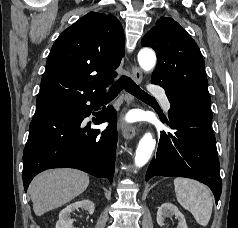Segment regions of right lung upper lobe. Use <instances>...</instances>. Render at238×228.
Returning a JSON list of instances; mask_svg holds the SVG:
<instances>
[{"label":"right lung upper lobe","instance_id":"1","mask_svg":"<svg viewBox=\"0 0 238 228\" xmlns=\"http://www.w3.org/2000/svg\"><path fill=\"white\" fill-rule=\"evenodd\" d=\"M124 33L112 14L89 12L64 30L52 46L37 97V110L103 93L116 77Z\"/></svg>","mask_w":238,"mask_h":228}]
</instances>
